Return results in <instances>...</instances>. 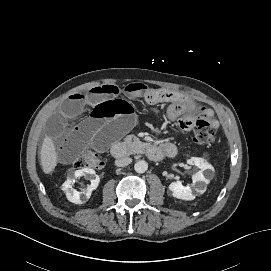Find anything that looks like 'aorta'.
<instances>
[{
  "instance_id": "1",
  "label": "aorta",
  "mask_w": 271,
  "mask_h": 271,
  "mask_svg": "<svg viewBox=\"0 0 271 271\" xmlns=\"http://www.w3.org/2000/svg\"><path fill=\"white\" fill-rule=\"evenodd\" d=\"M134 169L137 173H144L148 169V163L145 160H139L135 163Z\"/></svg>"
}]
</instances>
